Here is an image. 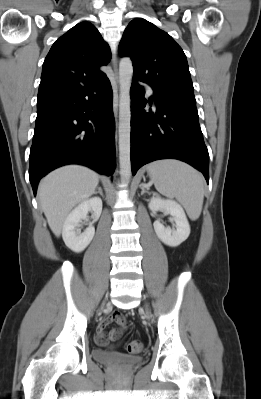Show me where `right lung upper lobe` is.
Here are the masks:
<instances>
[{
	"mask_svg": "<svg viewBox=\"0 0 261 399\" xmlns=\"http://www.w3.org/2000/svg\"><path fill=\"white\" fill-rule=\"evenodd\" d=\"M111 59L109 46L89 22H81L55 41L45 58L38 101L96 83L106 75L99 67Z\"/></svg>",
	"mask_w": 261,
	"mask_h": 399,
	"instance_id": "right-lung-upper-lobe-1",
	"label": "right lung upper lobe"
}]
</instances>
